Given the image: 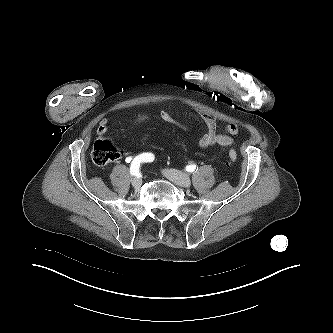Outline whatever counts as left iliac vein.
<instances>
[{
	"instance_id": "4c4485c4",
	"label": "left iliac vein",
	"mask_w": 333,
	"mask_h": 333,
	"mask_svg": "<svg viewBox=\"0 0 333 333\" xmlns=\"http://www.w3.org/2000/svg\"><path fill=\"white\" fill-rule=\"evenodd\" d=\"M163 174L166 178L174 182L175 184L181 187H190L191 186V179L190 177L180 171L174 169H165L163 170Z\"/></svg>"
}]
</instances>
